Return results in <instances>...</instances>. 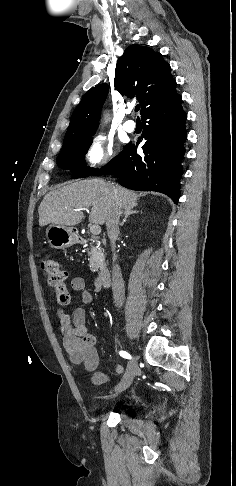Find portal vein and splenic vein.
Here are the masks:
<instances>
[{"label": "portal vein and splenic vein", "instance_id": "18ae733b", "mask_svg": "<svg viewBox=\"0 0 236 486\" xmlns=\"http://www.w3.org/2000/svg\"><path fill=\"white\" fill-rule=\"evenodd\" d=\"M90 231L93 235H99L101 233V227L98 224L91 225Z\"/></svg>", "mask_w": 236, "mask_h": 486}]
</instances>
